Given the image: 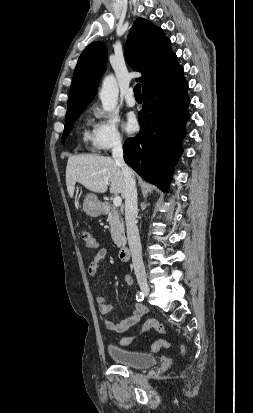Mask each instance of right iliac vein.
<instances>
[{"label": "right iliac vein", "mask_w": 253, "mask_h": 413, "mask_svg": "<svg viewBox=\"0 0 253 413\" xmlns=\"http://www.w3.org/2000/svg\"><path fill=\"white\" fill-rule=\"evenodd\" d=\"M139 286H140V289H141L142 293L145 296H148L149 292H150V288H149V285L146 282V280H144V279L139 280Z\"/></svg>", "instance_id": "obj_1"}]
</instances>
